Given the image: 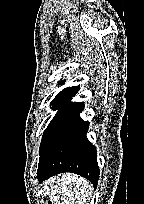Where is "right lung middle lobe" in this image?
Instances as JSON below:
<instances>
[{
	"label": "right lung middle lobe",
	"instance_id": "right-lung-middle-lobe-1",
	"mask_svg": "<svg viewBox=\"0 0 144 204\" xmlns=\"http://www.w3.org/2000/svg\"><path fill=\"white\" fill-rule=\"evenodd\" d=\"M71 98H58L54 99L52 104V109L57 110L56 115L53 117L52 121L49 123L48 127L44 131L42 142L40 145V153L45 148L47 142L51 139L54 132L56 131V128L60 122V119L62 116L66 113V111L70 108V106L73 104L70 102Z\"/></svg>",
	"mask_w": 144,
	"mask_h": 204
}]
</instances>
